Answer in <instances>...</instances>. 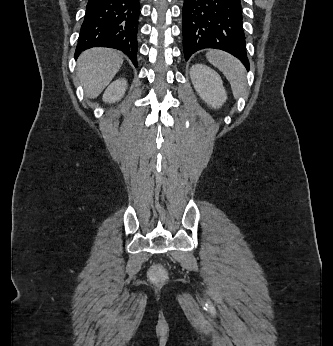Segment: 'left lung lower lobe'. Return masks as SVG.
Returning <instances> with one entry per match:
<instances>
[{"instance_id":"1","label":"left lung lower lobe","mask_w":333,"mask_h":346,"mask_svg":"<svg viewBox=\"0 0 333 346\" xmlns=\"http://www.w3.org/2000/svg\"><path fill=\"white\" fill-rule=\"evenodd\" d=\"M185 60L198 50L215 48L237 57L249 70L240 0H184Z\"/></svg>"}]
</instances>
